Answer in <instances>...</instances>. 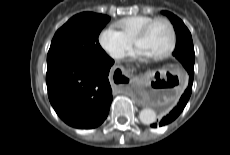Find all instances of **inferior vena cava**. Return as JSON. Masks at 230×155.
<instances>
[{"label": "inferior vena cava", "mask_w": 230, "mask_h": 155, "mask_svg": "<svg viewBox=\"0 0 230 155\" xmlns=\"http://www.w3.org/2000/svg\"><path fill=\"white\" fill-rule=\"evenodd\" d=\"M123 56H124V52L121 51V50L115 51V52L112 54V57H113V58H116V59L122 58Z\"/></svg>", "instance_id": "602c4592"}]
</instances>
